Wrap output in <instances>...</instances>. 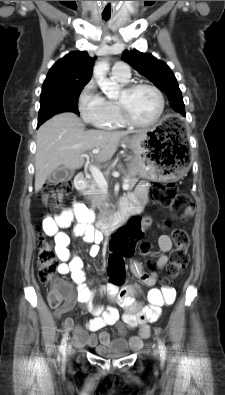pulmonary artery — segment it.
Returning <instances> with one entry per match:
<instances>
[{
    "mask_svg": "<svg viewBox=\"0 0 225 395\" xmlns=\"http://www.w3.org/2000/svg\"><path fill=\"white\" fill-rule=\"evenodd\" d=\"M111 74L113 78L128 81L130 78L129 66L124 62H117L113 66Z\"/></svg>",
    "mask_w": 225,
    "mask_h": 395,
    "instance_id": "e3ab8cb5",
    "label": "pulmonary artery"
}]
</instances>
